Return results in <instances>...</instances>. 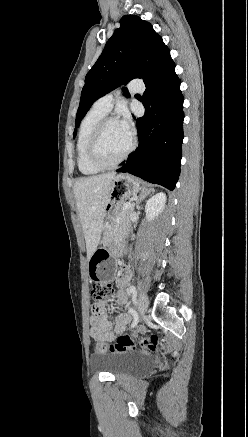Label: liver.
<instances>
[{
  "instance_id": "liver-1",
  "label": "liver",
  "mask_w": 248,
  "mask_h": 437,
  "mask_svg": "<svg viewBox=\"0 0 248 437\" xmlns=\"http://www.w3.org/2000/svg\"><path fill=\"white\" fill-rule=\"evenodd\" d=\"M115 175V172H111L80 178L73 187L77 211L85 236L88 259L91 258L100 243L105 208L110 198Z\"/></svg>"
}]
</instances>
